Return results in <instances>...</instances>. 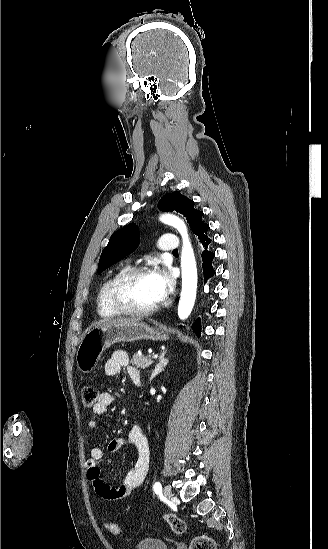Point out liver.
Instances as JSON below:
<instances>
[{
    "instance_id": "liver-1",
    "label": "liver",
    "mask_w": 328,
    "mask_h": 549,
    "mask_svg": "<svg viewBox=\"0 0 328 549\" xmlns=\"http://www.w3.org/2000/svg\"><path fill=\"white\" fill-rule=\"evenodd\" d=\"M138 323V319H109V321H99L97 327H109V325H130Z\"/></svg>"
}]
</instances>
